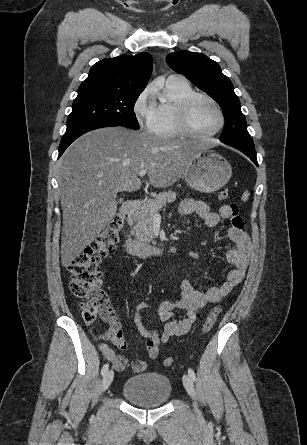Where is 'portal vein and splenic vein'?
I'll return each mask as SVG.
<instances>
[{"label": "portal vein and splenic vein", "instance_id": "obj_1", "mask_svg": "<svg viewBox=\"0 0 307 445\" xmlns=\"http://www.w3.org/2000/svg\"><path fill=\"white\" fill-rule=\"evenodd\" d=\"M148 172L147 168H144V170H140L138 176H144ZM155 216H160L159 212H156Z\"/></svg>", "mask_w": 307, "mask_h": 445}]
</instances>
